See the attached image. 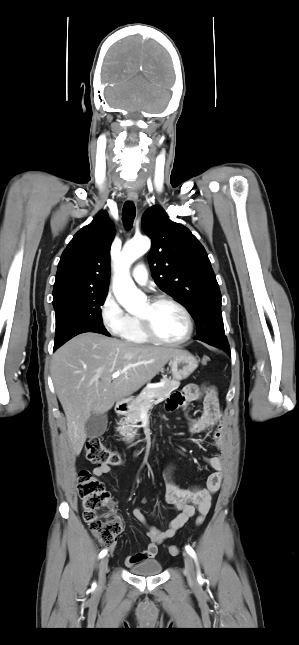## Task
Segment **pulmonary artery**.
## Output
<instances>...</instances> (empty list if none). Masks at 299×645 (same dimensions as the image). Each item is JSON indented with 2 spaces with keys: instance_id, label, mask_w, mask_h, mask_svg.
<instances>
[{
  "instance_id": "1",
  "label": "pulmonary artery",
  "mask_w": 299,
  "mask_h": 645,
  "mask_svg": "<svg viewBox=\"0 0 299 645\" xmlns=\"http://www.w3.org/2000/svg\"><path fill=\"white\" fill-rule=\"evenodd\" d=\"M134 280L140 285H146L148 282V272L144 264H138L132 271Z\"/></svg>"
}]
</instances>
